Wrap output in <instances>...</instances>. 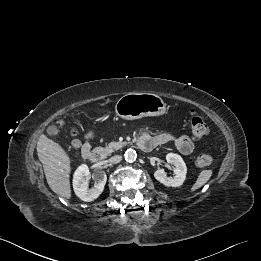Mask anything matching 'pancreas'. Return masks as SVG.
I'll return each instance as SVG.
<instances>
[{
  "instance_id": "1",
  "label": "pancreas",
  "mask_w": 261,
  "mask_h": 261,
  "mask_svg": "<svg viewBox=\"0 0 261 261\" xmlns=\"http://www.w3.org/2000/svg\"><path fill=\"white\" fill-rule=\"evenodd\" d=\"M126 143L125 142H110L107 147L106 150L108 153L113 152L114 150H118L121 149L123 146H125Z\"/></svg>"
}]
</instances>
